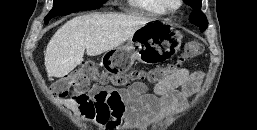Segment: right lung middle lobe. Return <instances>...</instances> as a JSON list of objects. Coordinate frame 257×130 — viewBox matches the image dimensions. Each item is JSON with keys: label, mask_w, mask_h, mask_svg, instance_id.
Returning <instances> with one entry per match:
<instances>
[{"label": "right lung middle lobe", "mask_w": 257, "mask_h": 130, "mask_svg": "<svg viewBox=\"0 0 257 130\" xmlns=\"http://www.w3.org/2000/svg\"><path fill=\"white\" fill-rule=\"evenodd\" d=\"M106 0H54L53 9L44 19L45 23L56 15H66L72 12L99 8Z\"/></svg>", "instance_id": "right-lung-middle-lobe-1"}]
</instances>
